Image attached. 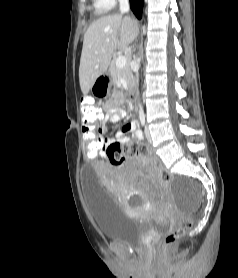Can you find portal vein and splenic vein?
I'll list each match as a JSON object with an SVG mask.
<instances>
[{
  "label": "portal vein and splenic vein",
  "mask_w": 238,
  "mask_h": 278,
  "mask_svg": "<svg viewBox=\"0 0 238 278\" xmlns=\"http://www.w3.org/2000/svg\"><path fill=\"white\" fill-rule=\"evenodd\" d=\"M126 63H127V59H126V57L125 56H119L118 58H117V60H116V66L118 67V68H123V67H125L126 66Z\"/></svg>",
  "instance_id": "18ae733b"
}]
</instances>
